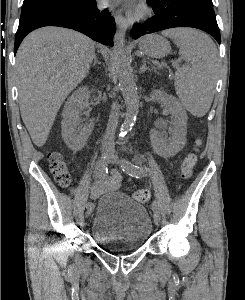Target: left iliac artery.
I'll return each mask as SVG.
<instances>
[{
	"label": "left iliac artery",
	"mask_w": 245,
	"mask_h": 300,
	"mask_svg": "<svg viewBox=\"0 0 245 300\" xmlns=\"http://www.w3.org/2000/svg\"><path fill=\"white\" fill-rule=\"evenodd\" d=\"M121 168L124 172L128 173L130 176L136 177V178H142L149 173V169L144 168L142 166L134 165L133 163H131L130 161L125 160V159H123L121 161ZM152 209H153L154 213L159 214V207H158V204L156 201H153Z\"/></svg>",
	"instance_id": "left-iliac-artery-1"
}]
</instances>
